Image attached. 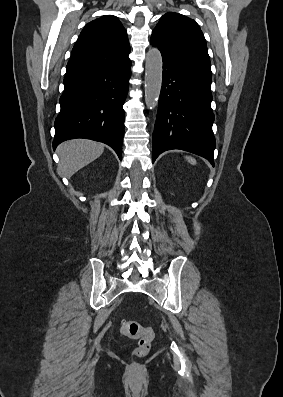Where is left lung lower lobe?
<instances>
[{
	"mask_svg": "<svg viewBox=\"0 0 283 397\" xmlns=\"http://www.w3.org/2000/svg\"><path fill=\"white\" fill-rule=\"evenodd\" d=\"M211 83L163 58L162 87L153 132V158L181 149L200 155L214 166L216 146L212 131Z\"/></svg>",
	"mask_w": 283,
	"mask_h": 397,
	"instance_id": "0a47b994",
	"label": "left lung lower lobe"
}]
</instances>
